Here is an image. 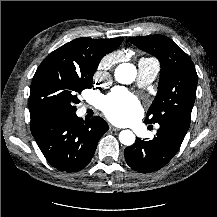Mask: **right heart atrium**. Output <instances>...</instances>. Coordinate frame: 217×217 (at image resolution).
Segmentation results:
<instances>
[{"label": "right heart atrium", "instance_id": "obj_1", "mask_svg": "<svg viewBox=\"0 0 217 217\" xmlns=\"http://www.w3.org/2000/svg\"><path fill=\"white\" fill-rule=\"evenodd\" d=\"M112 64H113V56L112 55L105 56L101 60L99 66H98V70L96 72V78L98 80H102V79L108 77L109 70H110Z\"/></svg>", "mask_w": 217, "mask_h": 217}]
</instances>
